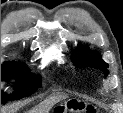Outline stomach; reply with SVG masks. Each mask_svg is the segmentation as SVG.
<instances>
[{
	"instance_id": "obj_1",
	"label": "stomach",
	"mask_w": 123,
	"mask_h": 113,
	"mask_svg": "<svg viewBox=\"0 0 123 113\" xmlns=\"http://www.w3.org/2000/svg\"><path fill=\"white\" fill-rule=\"evenodd\" d=\"M81 101L79 100H75V99H72V100H68L64 103H61L59 105H57L55 107V111L57 112H64V113H67V112H74V111H80L81 108Z\"/></svg>"
}]
</instances>
